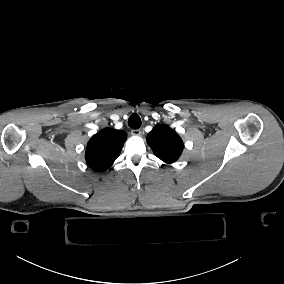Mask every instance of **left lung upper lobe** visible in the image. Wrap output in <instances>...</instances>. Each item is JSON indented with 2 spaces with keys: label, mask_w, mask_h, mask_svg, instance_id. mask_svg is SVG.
I'll return each instance as SVG.
<instances>
[{
  "label": "left lung upper lobe",
  "mask_w": 284,
  "mask_h": 284,
  "mask_svg": "<svg viewBox=\"0 0 284 284\" xmlns=\"http://www.w3.org/2000/svg\"><path fill=\"white\" fill-rule=\"evenodd\" d=\"M148 145L154 154L165 163L178 160L184 148L180 136L165 125H157L147 136Z\"/></svg>",
  "instance_id": "left-lung-upper-lobe-1"
}]
</instances>
